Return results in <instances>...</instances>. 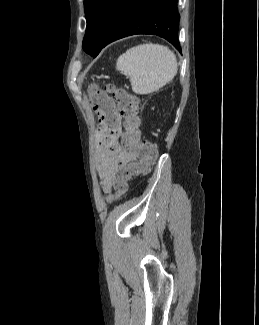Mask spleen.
Listing matches in <instances>:
<instances>
[{
  "label": "spleen",
  "mask_w": 259,
  "mask_h": 325,
  "mask_svg": "<svg viewBox=\"0 0 259 325\" xmlns=\"http://www.w3.org/2000/svg\"><path fill=\"white\" fill-rule=\"evenodd\" d=\"M116 69L129 77L136 94H149L158 91L175 77L177 59L168 47L145 43L120 55Z\"/></svg>",
  "instance_id": "obj_1"
}]
</instances>
